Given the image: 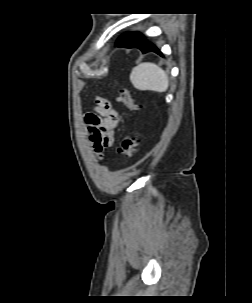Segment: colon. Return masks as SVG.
Returning <instances> with one entry per match:
<instances>
[{
  "label": "colon",
  "mask_w": 252,
  "mask_h": 303,
  "mask_svg": "<svg viewBox=\"0 0 252 303\" xmlns=\"http://www.w3.org/2000/svg\"><path fill=\"white\" fill-rule=\"evenodd\" d=\"M115 86L119 87V101L131 112L137 109L132 92L125 87H122L118 82ZM137 137L133 134H127L123 137L121 144V153L124 157L132 159L135 156Z\"/></svg>",
  "instance_id": "obj_1"
}]
</instances>
